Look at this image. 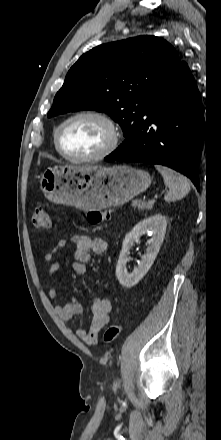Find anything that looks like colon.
Here are the masks:
<instances>
[{"label":"colon","instance_id":"colon-1","mask_svg":"<svg viewBox=\"0 0 221 440\" xmlns=\"http://www.w3.org/2000/svg\"><path fill=\"white\" fill-rule=\"evenodd\" d=\"M112 218L109 210H90L86 213V220L89 224L98 225ZM33 224L39 230L47 231L51 229L50 215L44 208H37L33 216ZM120 322L112 323L104 334V341L107 344L113 343L121 332Z\"/></svg>","mask_w":221,"mask_h":440}]
</instances>
